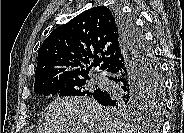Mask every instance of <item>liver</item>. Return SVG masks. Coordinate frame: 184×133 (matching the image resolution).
<instances>
[{
  "instance_id": "liver-1",
  "label": "liver",
  "mask_w": 184,
  "mask_h": 133,
  "mask_svg": "<svg viewBox=\"0 0 184 133\" xmlns=\"http://www.w3.org/2000/svg\"><path fill=\"white\" fill-rule=\"evenodd\" d=\"M139 133L140 128L115 118L94 99L56 98L45 109L38 133Z\"/></svg>"
}]
</instances>
